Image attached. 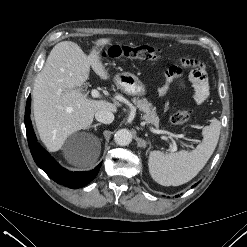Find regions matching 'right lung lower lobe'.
I'll return each instance as SVG.
<instances>
[{
    "mask_svg": "<svg viewBox=\"0 0 247 247\" xmlns=\"http://www.w3.org/2000/svg\"><path fill=\"white\" fill-rule=\"evenodd\" d=\"M31 97L29 96L25 109V126L29 148L34 161L56 183L72 189L83 187L97 175L101 163L91 171L71 172L60 166L37 142L30 120Z\"/></svg>",
    "mask_w": 247,
    "mask_h": 247,
    "instance_id": "right-lung-lower-lobe-1",
    "label": "right lung lower lobe"
}]
</instances>
